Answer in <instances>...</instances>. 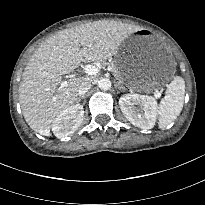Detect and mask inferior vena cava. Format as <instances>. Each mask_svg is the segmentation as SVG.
Instances as JSON below:
<instances>
[{
  "label": "inferior vena cava",
  "mask_w": 205,
  "mask_h": 205,
  "mask_svg": "<svg viewBox=\"0 0 205 205\" xmlns=\"http://www.w3.org/2000/svg\"><path fill=\"white\" fill-rule=\"evenodd\" d=\"M91 86H92V80L84 79L81 85L79 86L78 95L79 96L85 95L88 92V90L91 88Z\"/></svg>",
  "instance_id": "602c4592"
}]
</instances>
